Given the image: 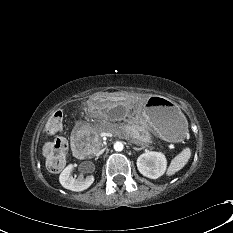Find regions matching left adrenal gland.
<instances>
[{
    "instance_id": "obj_1",
    "label": "left adrenal gland",
    "mask_w": 233,
    "mask_h": 233,
    "mask_svg": "<svg viewBox=\"0 0 233 233\" xmlns=\"http://www.w3.org/2000/svg\"><path fill=\"white\" fill-rule=\"evenodd\" d=\"M133 149L136 150V151H140V150L143 149V147H141V148H136V147H134Z\"/></svg>"
}]
</instances>
